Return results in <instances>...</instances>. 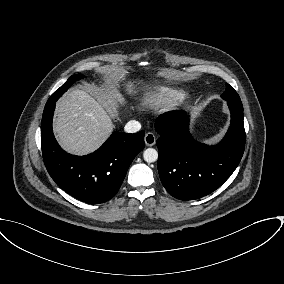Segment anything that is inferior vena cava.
<instances>
[{
    "label": "inferior vena cava",
    "mask_w": 284,
    "mask_h": 284,
    "mask_svg": "<svg viewBox=\"0 0 284 284\" xmlns=\"http://www.w3.org/2000/svg\"><path fill=\"white\" fill-rule=\"evenodd\" d=\"M140 129H141V124L136 120L129 121L124 127V130L127 133H136Z\"/></svg>",
    "instance_id": "obj_1"
}]
</instances>
